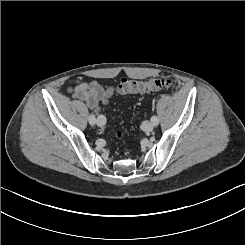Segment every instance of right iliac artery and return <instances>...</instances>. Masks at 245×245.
Returning <instances> with one entry per match:
<instances>
[{
    "label": "right iliac artery",
    "mask_w": 245,
    "mask_h": 245,
    "mask_svg": "<svg viewBox=\"0 0 245 245\" xmlns=\"http://www.w3.org/2000/svg\"><path fill=\"white\" fill-rule=\"evenodd\" d=\"M89 123L91 125H94L96 123V119H95V115L94 114H90V116H89Z\"/></svg>",
    "instance_id": "obj_1"
}]
</instances>
